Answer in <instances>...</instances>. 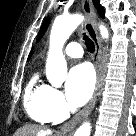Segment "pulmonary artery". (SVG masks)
Returning <instances> with one entry per match:
<instances>
[{"label":"pulmonary artery","instance_id":"1","mask_svg":"<svg viewBox=\"0 0 136 136\" xmlns=\"http://www.w3.org/2000/svg\"><path fill=\"white\" fill-rule=\"evenodd\" d=\"M65 54L73 58H80L83 55V50L80 44L71 42L65 47Z\"/></svg>","mask_w":136,"mask_h":136}]
</instances>
